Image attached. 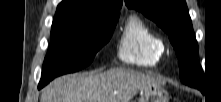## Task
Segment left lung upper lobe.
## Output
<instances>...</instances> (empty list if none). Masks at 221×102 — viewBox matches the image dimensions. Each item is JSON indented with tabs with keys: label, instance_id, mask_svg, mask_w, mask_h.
I'll list each match as a JSON object with an SVG mask.
<instances>
[{
	"label": "left lung upper lobe",
	"instance_id": "1",
	"mask_svg": "<svg viewBox=\"0 0 221 102\" xmlns=\"http://www.w3.org/2000/svg\"><path fill=\"white\" fill-rule=\"evenodd\" d=\"M125 4L142 12L169 35L178 57L181 81L203 91L205 78L185 0H125Z\"/></svg>",
	"mask_w": 221,
	"mask_h": 102
}]
</instances>
